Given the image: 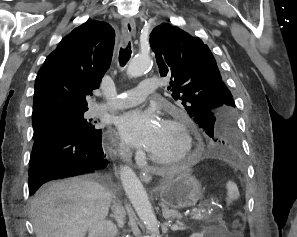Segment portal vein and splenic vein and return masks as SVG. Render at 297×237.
<instances>
[{"mask_svg": "<svg viewBox=\"0 0 297 237\" xmlns=\"http://www.w3.org/2000/svg\"><path fill=\"white\" fill-rule=\"evenodd\" d=\"M196 210H197L196 208H193L190 214H193Z\"/></svg>", "mask_w": 297, "mask_h": 237, "instance_id": "18ae733b", "label": "portal vein and splenic vein"}]
</instances>
